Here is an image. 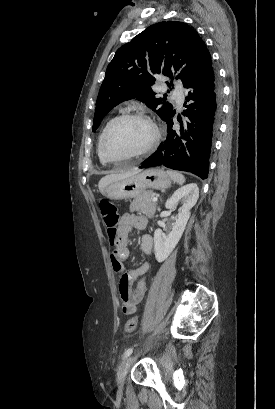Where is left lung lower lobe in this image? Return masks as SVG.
<instances>
[{
	"label": "left lung lower lobe",
	"mask_w": 275,
	"mask_h": 409,
	"mask_svg": "<svg viewBox=\"0 0 275 409\" xmlns=\"http://www.w3.org/2000/svg\"><path fill=\"white\" fill-rule=\"evenodd\" d=\"M185 88H192L193 93L185 98L187 109L182 114L192 123H187L185 129L181 124L180 131L173 130V110L165 119L168 129L166 140L140 168L164 165L206 179L213 137L222 114V85L217 70L211 65ZM190 100L197 102L186 105Z\"/></svg>",
	"instance_id": "1"
}]
</instances>
